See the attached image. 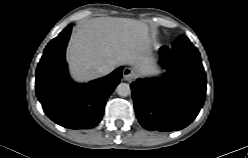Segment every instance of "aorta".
I'll return each mask as SVG.
<instances>
[{"label":"aorta","instance_id":"aorta-1","mask_svg":"<svg viewBox=\"0 0 248 158\" xmlns=\"http://www.w3.org/2000/svg\"><path fill=\"white\" fill-rule=\"evenodd\" d=\"M116 92L118 95L125 97L131 94V88L127 83H120L116 88Z\"/></svg>","mask_w":248,"mask_h":158}]
</instances>
